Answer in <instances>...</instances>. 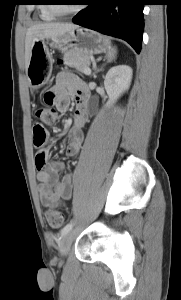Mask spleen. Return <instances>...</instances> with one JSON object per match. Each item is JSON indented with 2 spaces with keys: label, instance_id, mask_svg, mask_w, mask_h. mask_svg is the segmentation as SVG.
<instances>
[{
  "label": "spleen",
  "instance_id": "spleen-1",
  "mask_svg": "<svg viewBox=\"0 0 181 300\" xmlns=\"http://www.w3.org/2000/svg\"><path fill=\"white\" fill-rule=\"evenodd\" d=\"M115 55H116V49L112 48L107 52L106 57L109 61H112L114 59Z\"/></svg>",
  "mask_w": 181,
  "mask_h": 300
}]
</instances>
